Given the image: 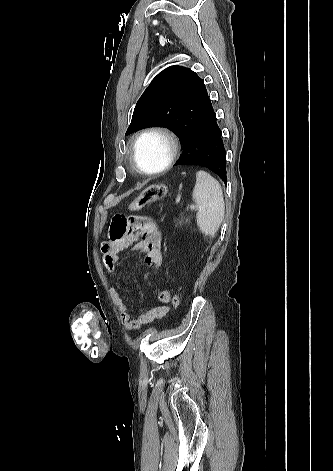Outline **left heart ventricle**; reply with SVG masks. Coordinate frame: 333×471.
<instances>
[{"label":"left heart ventricle","mask_w":333,"mask_h":471,"mask_svg":"<svg viewBox=\"0 0 333 471\" xmlns=\"http://www.w3.org/2000/svg\"><path fill=\"white\" fill-rule=\"evenodd\" d=\"M168 152V144L164 138L159 135H149L138 143L136 158L144 169L155 170L164 164Z\"/></svg>","instance_id":"left-heart-ventricle-1"}]
</instances>
